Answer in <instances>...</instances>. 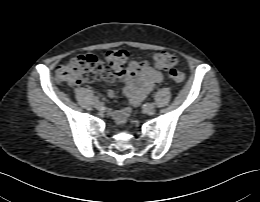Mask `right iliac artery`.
Wrapping results in <instances>:
<instances>
[{
    "label": "right iliac artery",
    "mask_w": 260,
    "mask_h": 202,
    "mask_svg": "<svg viewBox=\"0 0 260 202\" xmlns=\"http://www.w3.org/2000/svg\"><path fill=\"white\" fill-rule=\"evenodd\" d=\"M99 99H100V98H99L98 96L95 97V100H96V101H99Z\"/></svg>",
    "instance_id": "right-iliac-artery-1"
}]
</instances>
